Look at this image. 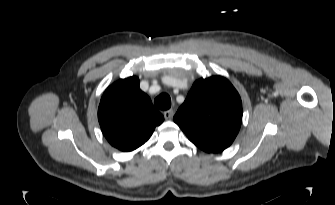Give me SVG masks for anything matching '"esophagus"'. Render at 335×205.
<instances>
[{
	"label": "esophagus",
	"mask_w": 335,
	"mask_h": 205,
	"mask_svg": "<svg viewBox=\"0 0 335 205\" xmlns=\"http://www.w3.org/2000/svg\"><path fill=\"white\" fill-rule=\"evenodd\" d=\"M163 114H164V117H165L166 120H170V119H172V117L174 115V110L169 109V110L165 111Z\"/></svg>",
	"instance_id": "1"
}]
</instances>
